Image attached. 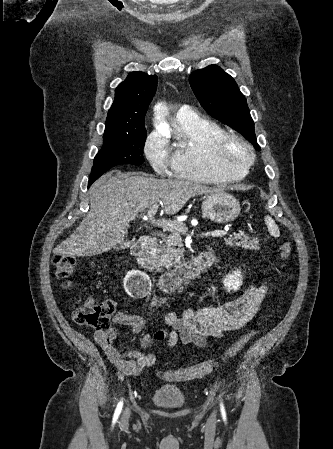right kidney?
Returning a JSON list of instances; mask_svg holds the SVG:
<instances>
[{
  "mask_svg": "<svg viewBox=\"0 0 333 449\" xmlns=\"http://www.w3.org/2000/svg\"><path fill=\"white\" fill-rule=\"evenodd\" d=\"M151 280L139 270L128 272L124 278V289L131 296H144L151 290Z\"/></svg>",
  "mask_w": 333,
  "mask_h": 449,
  "instance_id": "right-kidney-1",
  "label": "right kidney"
}]
</instances>
